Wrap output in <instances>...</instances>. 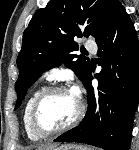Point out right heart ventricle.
<instances>
[{
	"mask_svg": "<svg viewBox=\"0 0 139 150\" xmlns=\"http://www.w3.org/2000/svg\"><path fill=\"white\" fill-rule=\"evenodd\" d=\"M42 90L43 88L39 87L30 95V97L26 102V105L24 107V112H23V125H24L25 132L28 138L34 141L40 140L42 137L36 135L30 127V111L35 99L37 98V96Z\"/></svg>",
	"mask_w": 139,
	"mask_h": 150,
	"instance_id": "obj_1",
	"label": "right heart ventricle"
}]
</instances>
